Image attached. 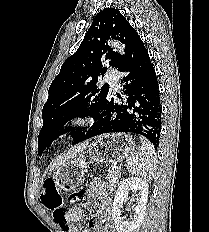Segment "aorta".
I'll use <instances>...</instances> for the list:
<instances>
[{
  "mask_svg": "<svg viewBox=\"0 0 209 232\" xmlns=\"http://www.w3.org/2000/svg\"><path fill=\"white\" fill-rule=\"evenodd\" d=\"M108 45L114 50L119 52L120 54H124V45H122L120 42L111 40L108 41Z\"/></svg>",
  "mask_w": 209,
  "mask_h": 232,
  "instance_id": "aorta-1",
  "label": "aorta"
}]
</instances>
